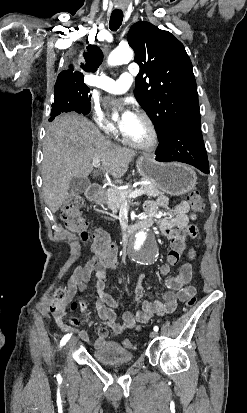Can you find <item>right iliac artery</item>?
<instances>
[{
  "label": "right iliac artery",
  "mask_w": 247,
  "mask_h": 413,
  "mask_svg": "<svg viewBox=\"0 0 247 413\" xmlns=\"http://www.w3.org/2000/svg\"><path fill=\"white\" fill-rule=\"evenodd\" d=\"M72 334H66L60 341V347H62L63 345H65L68 340L70 339Z\"/></svg>",
  "instance_id": "right-iliac-artery-1"
}]
</instances>
